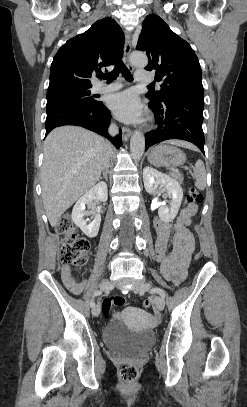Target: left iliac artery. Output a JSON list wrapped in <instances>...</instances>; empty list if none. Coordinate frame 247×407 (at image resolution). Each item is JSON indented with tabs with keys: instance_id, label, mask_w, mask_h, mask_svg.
<instances>
[{
	"instance_id": "obj_1",
	"label": "left iliac artery",
	"mask_w": 247,
	"mask_h": 407,
	"mask_svg": "<svg viewBox=\"0 0 247 407\" xmlns=\"http://www.w3.org/2000/svg\"><path fill=\"white\" fill-rule=\"evenodd\" d=\"M153 291L157 292L161 297H163V298L165 297V293H164V291L162 289L154 288Z\"/></svg>"
}]
</instances>
